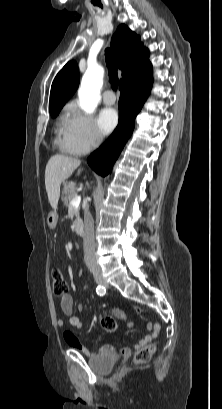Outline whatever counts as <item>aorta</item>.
<instances>
[{
    "instance_id": "aorta-1",
    "label": "aorta",
    "mask_w": 222,
    "mask_h": 409,
    "mask_svg": "<svg viewBox=\"0 0 222 409\" xmlns=\"http://www.w3.org/2000/svg\"><path fill=\"white\" fill-rule=\"evenodd\" d=\"M103 74V68L96 65L89 66L83 75L78 91L79 106L87 114L93 113L100 101Z\"/></svg>"
}]
</instances>
